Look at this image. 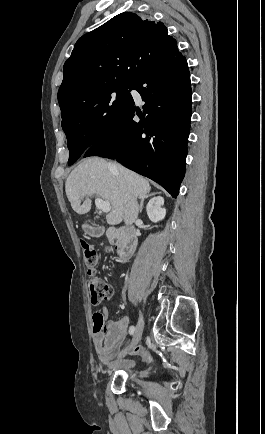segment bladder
<instances>
[{"instance_id":"obj_1","label":"bladder","mask_w":265,"mask_h":434,"mask_svg":"<svg viewBox=\"0 0 265 434\" xmlns=\"http://www.w3.org/2000/svg\"><path fill=\"white\" fill-rule=\"evenodd\" d=\"M134 368H135V364L134 363H126V364L123 365L122 369L124 371L128 372V373H131L134 370Z\"/></svg>"}]
</instances>
